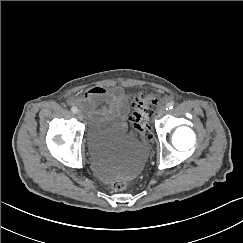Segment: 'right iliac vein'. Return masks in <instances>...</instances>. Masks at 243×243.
Wrapping results in <instances>:
<instances>
[{
    "label": "right iliac vein",
    "instance_id": "right-iliac-vein-1",
    "mask_svg": "<svg viewBox=\"0 0 243 243\" xmlns=\"http://www.w3.org/2000/svg\"><path fill=\"white\" fill-rule=\"evenodd\" d=\"M77 117L82 120L84 118V115L81 111L77 112Z\"/></svg>",
    "mask_w": 243,
    "mask_h": 243
}]
</instances>
